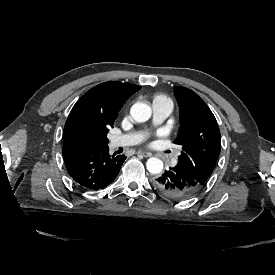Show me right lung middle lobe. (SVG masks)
Here are the masks:
<instances>
[{
    "label": "right lung middle lobe",
    "mask_w": 275,
    "mask_h": 275,
    "mask_svg": "<svg viewBox=\"0 0 275 275\" xmlns=\"http://www.w3.org/2000/svg\"><path fill=\"white\" fill-rule=\"evenodd\" d=\"M113 123L109 121L88 122L78 126L72 134L73 145L107 146L108 128Z\"/></svg>",
    "instance_id": "right-lung-middle-lobe-1"
}]
</instances>
